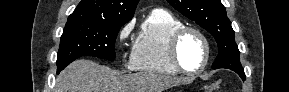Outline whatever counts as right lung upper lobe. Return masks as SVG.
I'll list each match as a JSON object with an SVG mask.
<instances>
[{
    "label": "right lung upper lobe",
    "mask_w": 289,
    "mask_h": 92,
    "mask_svg": "<svg viewBox=\"0 0 289 92\" xmlns=\"http://www.w3.org/2000/svg\"><path fill=\"white\" fill-rule=\"evenodd\" d=\"M139 0H82L67 23H121L129 22Z\"/></svg>",
    "instance_id": "cb5924a9"
}]
</instances>
